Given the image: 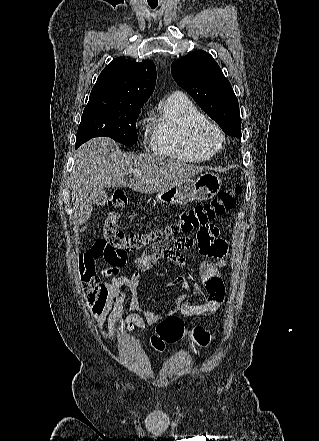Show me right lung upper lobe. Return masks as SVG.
Here are the masks:
<instances>
[{"instance_id": "obj_1", "label": "right lung upper lobe", "mask_w": 319, "mask_h": 441, "mask_svg": "<svg viewBox=\"0 0 319 441\" xmlns=\"http://www.w3.org/2000/svg\"><path fill=\"white\" fill-rule=\"evenodd\" d=\"M155 83L156 67L152 61L138 63L116 58L100 73L87 105L143 106L152 95Z\"/></svg>"}]
</instances>
